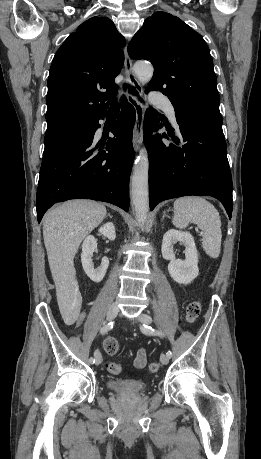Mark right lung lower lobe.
<instances>
[{
	"label": "right lung lower lobe",
	"mask_w": 261,
	"mask_h": 459,
	"mask_svg": "<svg viewBox=\"0 0 261 459\" xmlns=\"http://www.w3.org/2000/svg\"><path fill=\"white\" fill-rule=\"evenodd\" d=\"M89 134L43 157L36 197L37 218L56 202L86 198L129 210V177L133 164L132 129L135 109L123 98L122 111L112 128L114 138L93 144L98 121ZM105 145L106 151H100Z\"/></svg>",
	"instance_id": "98d812e1"
}]
</instances>
